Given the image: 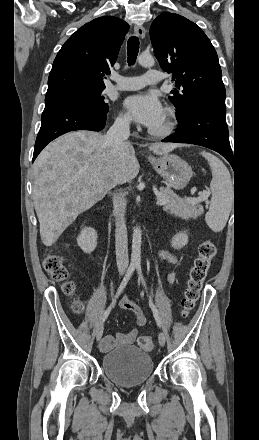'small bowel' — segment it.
<instances>
[{
    "instance_id": "1",
    "label": "small bowel",
    "mask_w": 259,
    "mask_h": 440,
    "mask_svg": "<svg viewBox=\"0 0 259 440\" xmlns=\"http://www.w3.org/2000/svg\"><path fill=\"white\" fill-rule=\"evenodd\" d=\"M158 255L163 258L164 260L168 261L169 263L180 266V261L178 258L171 253L168 250L161 249L158 251ZM176 278V271H172L168 274V282L170 284H173ZM120 308L124 310H128L132 312L135 316L136 323L138 326H144L147 322L146 316L142 310V308L139 306V304L133 300L130 299L127 296H123L119 303ZM138 336V330L132 329L127 334H118L116 336L112 335H106L101 342V350L102 351H108L116 346L120 345H130L133 344Z\"/></svg>"
}]
</instances>
